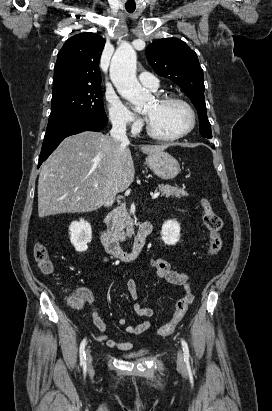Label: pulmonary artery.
Wrapping results in <instances>:
<instances>
[{
	"instance_id": "obj_1",
	"label": "pulmonary artery",
	"mask_w": 272,
	"mask_h": 411,
	"mask_svg": "<svg viewBox=\"0 0 272 411\" xmlns=\"http://www.w3.org/2000/svg\"><path fill=\"white\" fill-rule=\"evenodd\" d=\"M139 80H140L141 84L144 87H146V88H148L152 91H156L159 88L158 79L154 75H152L148 72L140 73L139 74Z\"/></svg>"
}]
</instances>
